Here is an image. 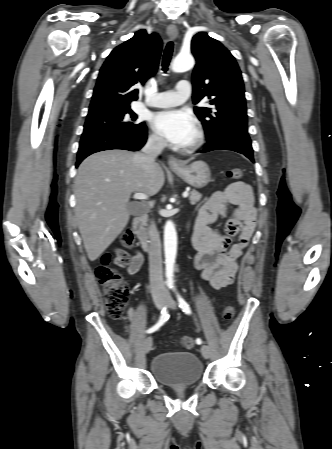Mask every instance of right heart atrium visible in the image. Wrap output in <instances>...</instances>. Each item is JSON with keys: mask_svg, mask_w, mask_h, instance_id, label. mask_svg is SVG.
Instances as JSON below:
<instances>
[{"mask_svg": "<svg viewBox=\"0 0 332 449\" xmlns=\"http://www.w3.org/2000/svg\"><path fill=\"white\" fill-rule=\"evenodd\" d=\"M148 142L157 148H162L164 146V140L157 133H150L148 136Z\"/></svg>", "mask_w": 332, "mask_h": 449, "instance_id": "d8ad5b80", "label": "right heart atrium"}]
</instances>
